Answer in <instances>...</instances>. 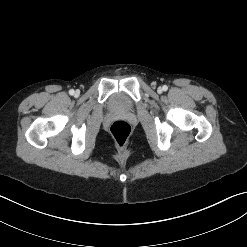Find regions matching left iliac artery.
Wrapping results in <instances>:
<instances>
[{
  "label": "left iliac artery",
  "instance_id": "1",
  "mask_svg": "<svg viewBox=\"0 0 247 247\" xmlns=\"http://www.w3.org/2000/svg\"><path fill=\"white\" fill-rule=\"evenodd\" d=\"M162 89H163V91H167V90H168V86L164 85V86L162 87Z\"/></svg>",
  "mask_w": 247,
  "mask_h": 247
}]
</instances>
